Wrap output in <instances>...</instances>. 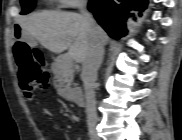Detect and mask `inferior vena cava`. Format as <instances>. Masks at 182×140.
Wrapping results in <instances>:
<instances>
[{
	"label": "inferior vena cava",
	"instance_id": "obj_1",
	"mask_svg": "<svg viewBox=\"0 0 182 140\" xmlns=\"http://www.w3.org/2000/svg\"><path fill=\"white\" fill-rule=\"evenodd\" d=\"M87 3L83 2L80 5V13L84 24L90 32V50L82 63L81 78L84 83L87 123L89 133L93 135L97 122L96 99H95V82L97 79V71L103 59V45L95 35L94 20L91 14L87 11Z\"/></svg>",
	"mask_w": 182,
	"mask_h": 140
}]
</instances>
